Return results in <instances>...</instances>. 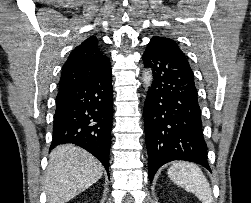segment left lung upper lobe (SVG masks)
<instances>
[{
  "instance_id": "obj_1",
  "label": "left lung upper lobe",
  "mask_w": 251,
  "mask_h": 203,
  "mask_svg": "<svg viewBox=\"0 0 251 203\" xmlns=\"http://www.w3.org/2000/svg\"><path fill=\"white\" fill-rule=\"evenodd\" d=\"M151 40L171 44L174 48H176V50L178 52L182 53L185 56V54L178 47L177 43L174 40L170 39V38L154 36Z\"/></svg>"
}]
</instances>
